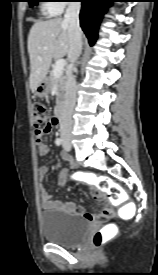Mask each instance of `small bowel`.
I'll list each match as a JSON object with an SVG mask.
<instances>
[{
    "label": "small bowel",
    "mask_w": 158,
    "mask_h": 275,
    "mask_svg": "<svg viewBox=\"0 0 158 275\" xmlns=\"http://www.w3.org/2000/svg\"><path fill=\"white\" fill-rule=\"evenodd\" d=\"M37 144H38V151L41 156H46L49 154L50 148L47 145V143L41 141V139L38 138ZM62 158L66 161H69L72 167L75 166L74 162L72 161L71 157L68 154L63 153ZM48 172H49V167L47 166H42L39 169L38 177L41 182L45 179ZM66 174L67 172L65 170L60 172V175H59L60 183L64 182ZM39 191H40L41 203L44 209H60L66 212L82 215L89 220L97 219V216L95 213L87 212L83 206L76 205L74 202L63 203L60 200H55L52 197V195L42 185L40 186ZM94 196L98 200L103 199V194L101 192H98V191L95 192Z\"/></svg>",
    "instance_id": "obj_1"
}]
</instances>
